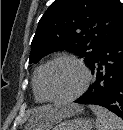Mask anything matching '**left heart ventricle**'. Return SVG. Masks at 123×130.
Wrapping results in <instances>:
<instances>
[{"mask_svg":"<svg viewBox=\"0 0 123 130\" xmlns=\"http://www.w3.org/2000/svg\"><path fill=\"white\" fill-rule=\"evenodd\" d=\"M84 73L70 60L54 63L46 75V88L55 98H67L74 95L82 86Z\"/></svg>","mask_w":123,"mask_h":130,"instance_id":"left-heart-ventricle-1","label":"left heart ventricle"}]
</instances>
